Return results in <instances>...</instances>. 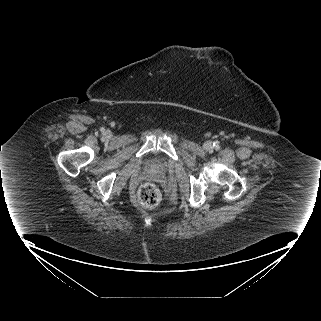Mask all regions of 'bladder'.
<instances>
[{
    "mask_svg": "<svg viewBox=\"0 0 321 321\" xmlns=\"http://www.w3.org/2000/svg\"><path fill=\"white\" fill-rule=\"evenodd\" d=\"M151 168L154 170V171H159L161 168L159 166H156V165H152Z\"/></svg>",
    "mask_w": 321,
    "mask_h": 321,
    "instance_id": "bladder-1",
    "label": "bladder"
}]
</instances>
